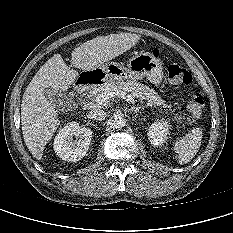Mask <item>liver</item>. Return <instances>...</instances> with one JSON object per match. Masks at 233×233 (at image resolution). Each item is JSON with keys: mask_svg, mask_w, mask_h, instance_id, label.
<instances>
[{"mask_svg": "<svg viewBox=\"0 0 233 233\" xmlns=\"http://www.w3.org/2000/svg\"><path fill=\"white\" fill-rule=\"evenodd\" d=\"M140 36L131 33L98 36L82 43L71 54V63L83 71H93L135 46ZM79 73L68 67L60 54H55L37 71L27 86L21 104V126L27 148L34 158L42 159L45 145L57 130L58 111L45 97L51 88L67 91Z\"/></svg>", "mask_w": 233, "mask_h": 233, "instance_id": "obj_1", "label": "liver"}]
</instances>
